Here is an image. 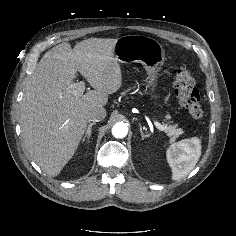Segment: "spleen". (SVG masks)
Instances as JSON below:
<instances>
[{
  "instance_id": "obj_1",
  "label": "spleen",
  "mask_w": 236,
  "mask_h": 236,
  "mask_svg": "<svg viewBox=\"0 0 236 236\" xmlns=\"http://www.w3.org/2000/svg\"><path fill=\"white\" fill-rule=\"evenodd\" d=\"M201 140L197 137L173 143L167 150V159L172 168V180L188 175L201 156Z\"/></svg>"
}]
</instances>
